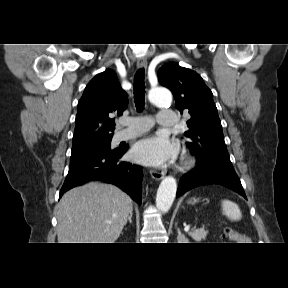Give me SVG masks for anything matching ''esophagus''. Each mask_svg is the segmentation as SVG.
Instances as JSON below:
<instances>
[{"label": "esophagus", "mask_w": 288, "mask_h": 288, "mask_svg": "<svg viewBox=\"0 0 288 288\" xmlns=\"http://www.w3.org/2000/svg\"><path fill=\"white\" fill-rule=\"evenodd\" d=\"M147 67V60L145 57L139 58L137 61V68L142 69ZM150 174L153 179L159 181L164 177V173L156 171V170H151Z\"/></svg>", "instance_id": "obj_1"}]
</instances>
